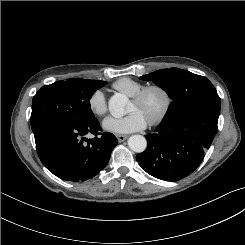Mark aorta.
Wrapping results in <instances>:
<instances>
[{"label": "aorta", "mask_w": 245, "mask_h": 245, "mask_svg": "<svg viewBox=\"0 0 245 245\" xmlns=\"http://www.w3.org/2000/svg\"><path fill=\"white\" fill-rule=\"evenodd\" d=\"M128 104V98L123 94H115L109 99V110L115 118L124 115ZM128 145L134 152L141 153L147 147V141L142 135H133L128 139Z\"/></svg>", "instance_id": "1"}]
</instances>
